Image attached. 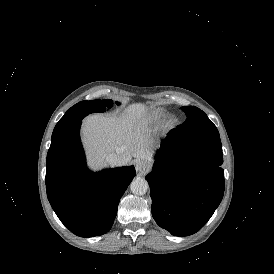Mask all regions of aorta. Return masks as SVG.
Wrapping results in <instances>:
<instances>
[{"label": "aorta", "mask_w": 274, "mask_h": 274, "mask_svg": "<svg viewBox=\"0 0 274 274\" xmlns=\"http://www.w3.org/2000/svg\"><path fill=\"white\" fill-rule=\"evenodd\" d=\"M148 188V182L144 178H135L130 185L131 192L134 195H144L148 191Z\"/></svg>", "instance_id": "1"}]
</instances>
